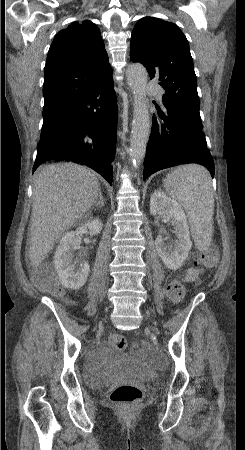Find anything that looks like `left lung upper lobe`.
Here are the masks:
<instances>
[{
    "mask_svg": "<svg viewBox=\"0 0 245 450\" xmlns=\"http://www.w3.org/2000/svg\"><path fill=\"white\" fill-rule=\"evenodd\" d=\"M130 58L142 63L151 79L160 81L165 89L163 103L181 107L202 125L189 44L177 25L153 17L141 18L132 31Z\"/></svg>",
    "mask_w": 245,
    "mask_h": 450,
    "instance_id": "1",
    "label": "left lung upper lobe"
}]
</instances>
